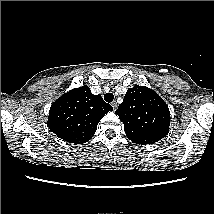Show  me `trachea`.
I'll return each mask as SVG.
<instances>
[{"label": "trachea", "instance_id": "1", "mask_svg": "<svg viewBox=\"0 0 214 214\" xmlns=\"http://www.w3.org/2000/svg\"><path fill=\"white\" fill-rule=\"evenodd\" d=\"M114 99V95L112 93H106L104 95V100L108 103L112 102Z\"/></svg>", "mask_w": 214, "mask_h": 214}]
</instances>
